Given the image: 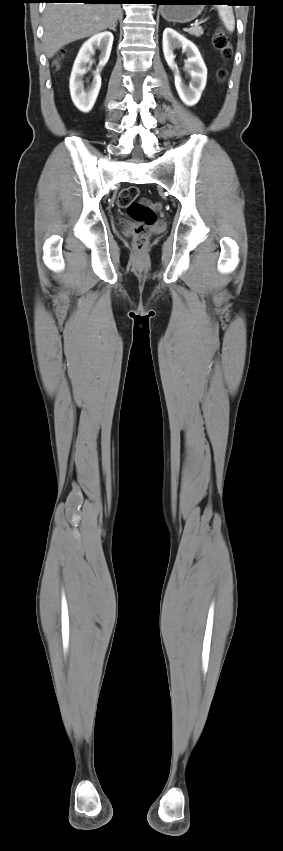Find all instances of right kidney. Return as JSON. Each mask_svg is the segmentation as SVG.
<instances>
[{"instance_id": "1", "label": "right kidney", "mask_w": 283, "mask_h": 851, "mask_svg": "<svg viewBox=\"0 0 283 851\" xmlns=\"http://www.w3.org/2000/svg\"><path fill=\"white\" fill-rule=\"evenodd\" d=\"M113 40L114 37L111 32L98 33L82 45L75 59L70 76V94L74 105L84 113H88L92 109L98 96L101 87L99 71L109 59ZM97 48L101 51L98 70L94 74L91 85L85 89L83 76L89 69L87 64L91 61V55Z\"/></svg>"}]
</instances>
